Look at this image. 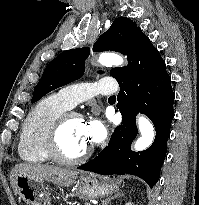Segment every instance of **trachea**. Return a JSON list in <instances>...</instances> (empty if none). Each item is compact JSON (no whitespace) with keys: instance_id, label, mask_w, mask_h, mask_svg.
<instances>
[{"instance_id":"obj_1","label":"trachea","mask_w":199,"mask_h":205,"mask_svg":"<svg viewBox=\"0 0 199 205\" xmlns=\"http://www.w3.org/2000/svg\"><path fill=\"white\" fill-rule=\"evenodd\" d=\"M110 98H115V96H110Z\"/></svg>"}]
</instances>
